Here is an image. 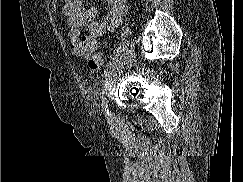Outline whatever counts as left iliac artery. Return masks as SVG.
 <instances>
[{"mask_svg":"<svg viewBox=\"0 0 243 182\" xmlns=\"http://www.w3.org/2000/svg\"><path fill=\"white\" fill-rule=\"evenodd\" d=\"M101 106H102V109H103L105 115L106 116L109 115L108 104H107L105 95L102 96Z\"/></svg>","mask_w":243,"mask_h":182,"instance_id":"1","label":"left iliac artery"}]
</instances>
